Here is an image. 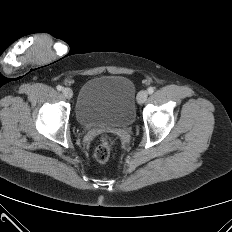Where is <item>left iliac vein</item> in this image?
I'll return each instance as SVG.
<instances>
[{
  "label": "left iliac vein",
  "mask_w": 232,
  "mask_h": 232,
  "mask_svg": "<svg viewBox=\"0 0 232 232\" xmlns=\"http://www.w3.org/2000/svg\"><path fill=\"white\" fill-rule=\"evenodd\" d=\"M147 97H148V93L145 90H142L137 95V102L139 104H143L146 102Z\"/></svg>",
  "instance_id": "obj_1"
}]
</instances>
